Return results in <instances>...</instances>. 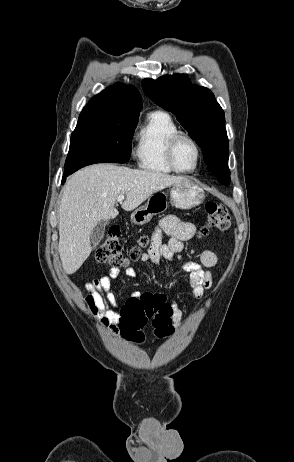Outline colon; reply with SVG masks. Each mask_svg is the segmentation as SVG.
Here are the masks:
<instances>
[{
	"label": "colon",
	"mask_w": 294,
	"mask_h": 462,
	"mask_svg": "<svg viewBox=\"0 0 294 462\" xmlns=\"http://www.w3.org/2000/svg\"><path fill=\"white\" fill-rule=\"evenodd\" d=\"M204 214L206 226L202 230L203 234H207L213 228L224 231L231 224L228 210L220 203L208 202L205 205ZM119 239V228L111 227L95 254L99 263L119 268L139 258V248H134L128 256H125ZM147 242L148 239L143 237L140 244L145 245ZM171 315V304L163 294L144 292L139 296H132L121 308L119 327L126 338L141 342L144 338L142 329L150 321L157 336L164 337L173 332Z\"/></svg>",
	"instance_id": "obj_1"
}]
</instances>
